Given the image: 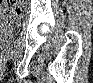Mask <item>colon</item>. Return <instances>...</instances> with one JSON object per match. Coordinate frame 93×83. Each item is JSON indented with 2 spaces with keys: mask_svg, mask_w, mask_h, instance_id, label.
I'll return each instance as SVG.
<instances>
[{
  "mask_svg": "<svg viewBox=\"0 0 93 83\" xmlns=\"http://www.w3.org/2000/svg\"><path fill=\"white\" fill-rule=\"evenodd\" d=\"M24 2L22 1H13V2H4L2 6V15L15 14L22 7Z\"/></svg>",
  "mask_w": 93,
  "mask_h": 83,
  "instance_id": "5ec220e1",
  "label": "colon"
}]
</instances>
